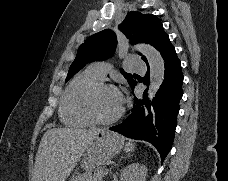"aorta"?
<instances>
[{"instance_id": "762f6f07", "label": "aorta", "mask_w": 228, "mask_h": 181, "mask_svg": "<svg viewBox=\"0 0 228 181\" xmlns=\"http://www.w3.org/2000/svg\"><path fill=\"white\" fill-rule=\"evenodd\" d=\"M135 50L141 52L149 63L150 67V84L148 89V97L152 99L160 88L165 74L164 60L161 54L152 46L147 44H139L134 46Z\"/></svg>"}]
</instances>
